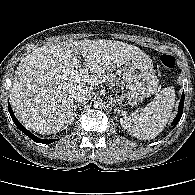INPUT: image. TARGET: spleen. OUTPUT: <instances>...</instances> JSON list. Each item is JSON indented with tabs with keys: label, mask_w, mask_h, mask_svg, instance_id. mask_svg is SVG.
I'll return each instance as SVG.
<instances>
[{
	"label": "spleen",
	"mask_w": 195,
	"mask_h": 195,
	"mask_svg": "<svg viewBox=\"0 0 195 195\" xmlns=\"http://www.w3.org/2000/svg\"><path fill=\"white\" fill-rule=\"evenodd\" d=\"M175 103L174 87L164 88L144 110L136 116L121 119L122 127L138 139L150 140L166 126Z\"/></svg>",
	"instance_id": "3e777b00"
}]
</instances>
